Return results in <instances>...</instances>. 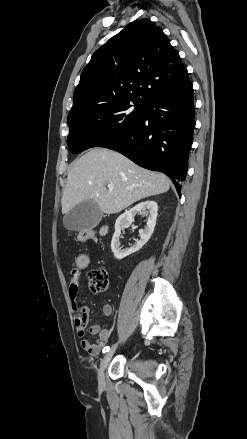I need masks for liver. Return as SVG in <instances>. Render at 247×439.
<instances>
[{
    "mask_svg": "<svg viewBox=\"0 0 247 439\" xmlns=\"http://www.w3.org/2000/svg\"><path fill=\"white\" fill-rule=\"evenodd\" d=\"M107 184H112L113 190L107 189ZM169 188L166 175L144 169L118 152L94 148L75 161L68 172L62 214L86 200L94 201L102 213L114 214Z\"/></svg>",
    "mask_w": 247,
    "mask_h": 439,
    "instance_id": "1",
    "label": "liver"
}]
</instances>
